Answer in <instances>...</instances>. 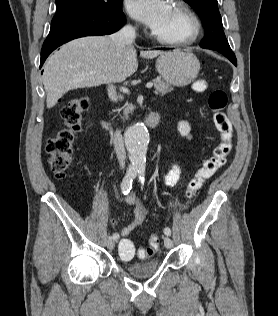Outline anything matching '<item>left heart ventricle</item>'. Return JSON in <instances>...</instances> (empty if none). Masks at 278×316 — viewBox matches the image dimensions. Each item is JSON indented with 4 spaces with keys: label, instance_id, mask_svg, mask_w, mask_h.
I'll return each mask as SVG.
<instances>
[{
    "label": "left heart ventricle",
    "instance_id": "left-heart-ventricle-1",
    "mask_svg": "<svg viewBox=\"0 0 278 316\" xmlns=\"http://www.w3.org/2000/svg\"><path fill=\"white\" fill-rule=\"evenodd\" d=\"M189 30L187 17L171 6L166 19L155 32L161 36L176 38L185 36Z\"/></svg>",
    "mask_w": 278,
    "mask_h": 316
}]
</instances>
